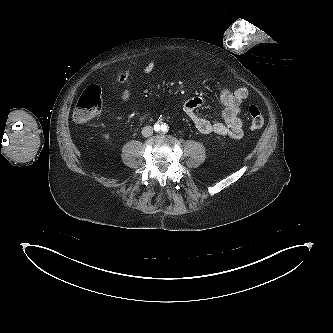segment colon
<instances>
[{
  "label": "colon",
  "mask_w": 333,
  "mask_h": 333,
  "mask_svg": "<svg viewBox=\"0 0 333 333\" xmlns=\"http://www.w3.org/2000/svg\"><path fill=\"white\" fill-rule=\"evenodd\" d=\"M128 78V72L123 71L118 75V81L124 83ZM102 106L101 89L97 85H89L84 89L77 100L73 112L75 122L86 124L95 118ZM248 119L252 131L260 130L264 125V118L260 110L251 105L248 108Z\"/></svg>",
  "instance_id": "1"
}]
</instances>
